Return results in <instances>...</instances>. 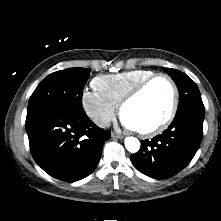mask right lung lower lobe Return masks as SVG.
<instances>
[{"label": "right lung lower lobe", "mask_w": 221, "mask_h": 221, "mask_svg": "<svg viewBox=\"0 0 221 221\" xmlns=\"http://www.w3.org/2000/svg\"><path fill=\"white\" fill-rule=\"evenodd\" d=\"M31 154L49 175L75 182L97 166L110 131L96 126L83 110L57 107L27 114Z\"/></svg>", "instance_id": "right-lung-lower-lobe-1"}]
</instances>
